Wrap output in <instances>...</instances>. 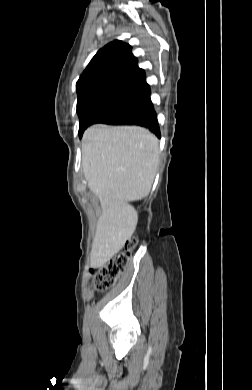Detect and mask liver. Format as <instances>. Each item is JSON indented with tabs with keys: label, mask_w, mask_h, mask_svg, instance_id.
Wrapping results in <instances>:
<instances>
[{
	"label": "liver",
	"mask_w": 252,
	"mask_h": 390,
	"mask_svg": "<svg viewBox=\"0 0 252 390\" xmlns=\"http://www.w3.org/2000/svg\"><path fill=\"white\" fill-rule=\"evenodd\" d=\"M158 163V139L145 128L97 124L85 131L83 172L102 207L92 244V267L104 266L132 236L137 216L128 203L149 194Z\"/></svg>",
	"instance_id": "obj_1"
}]
</instances>
